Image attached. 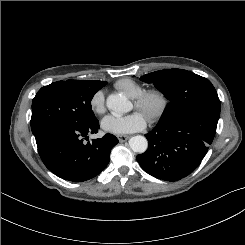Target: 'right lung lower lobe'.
<instances>
[{
	"instance_id": "obj_1",
	"label": "right lung lower lobe",
	"mask_w": 245,
	"mask_h": 245,
	"mask_svg": "<svg viewBox=\"0 0 245 245\" xmlns=\"http://www.w3.org/2000/svg\"><path fill=\"white\" fill-rule=\"evenodd\" d=\"M98 129V120L83 126L56 122L43 125L34 133L43 163L58 177L72 182L97 176L109 163L111 149L119 142L114 135L106 134L92 143H83V137L97 133Z\"/></svg>"
}]
</instances>
